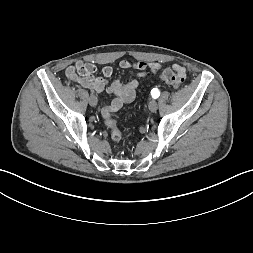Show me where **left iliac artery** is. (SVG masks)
<instances>
[{
    "label": "left iliac artery",
    "mask_w": 253,
    "mask_h": 253,
    "mask_svg": "<svg viewBox=\"0 0 253 253\" xmlns=\"http://www.w3.org/2000/svg\"><path fill=\"white\" fill-rule=\"evenodd\" d=\"M151 95L154 99L158 98L160 95V92L158 91V89L154 88L151 90Z\"/></svg>",
    "instance_id": "1"
}]
</instances>
